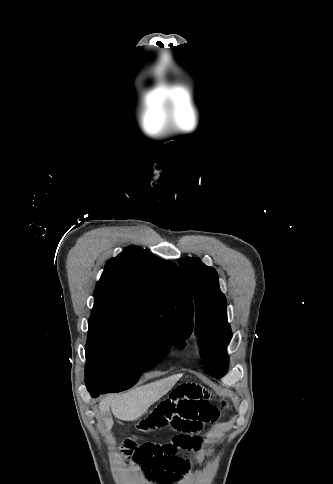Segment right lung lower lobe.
<instances>
[{"mask_svg":"<svg viewBox=\"0 0 333 484\" xmlns=\"http://www.w3.org/2000/svg\"><path fill=\"white\" fill-rule=\"evenodd\" d=\"M87 389L93 397H97L100 393H104L103 391L97 388H87Z\"/></svg>","mask_w":333,"mask_h":484,"instance_id":"98d812e1","label":"right lung lower lobe"}]
</instances>
